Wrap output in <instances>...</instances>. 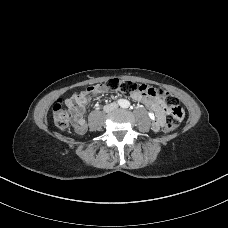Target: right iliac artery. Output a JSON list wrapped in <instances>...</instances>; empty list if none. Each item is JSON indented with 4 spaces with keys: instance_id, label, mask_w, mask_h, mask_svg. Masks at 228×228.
I'll list each match as a JSON object with an SVG mask.
<instances>
[{
    "instance_id": "82829eb1",
    "label": "right iliac artery",
    "mask_w": 228,
    "mask_h": 228,
    "mask_svg": "<svg viewBox=\"0 0 228 228\" xmlns=\"http://www.w3.org/2000/svg\"><path fill=\"white\" fill-rule=\"evenodd\" d=\"M118 103H119V104H122V100H118Z\"/></svg>"
}]
</instances>
